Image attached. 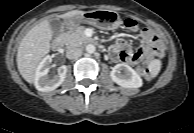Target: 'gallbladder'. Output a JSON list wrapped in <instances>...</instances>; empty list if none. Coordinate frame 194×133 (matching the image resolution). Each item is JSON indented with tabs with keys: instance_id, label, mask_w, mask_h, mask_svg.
Listing matches in <instances>:
<instances>
[{
	"instance_id": "bac80fb5",
	"label": "gallbladder",
	"mask_w": 194,
	"mask_h": 133,
	"mask_svg": "<svg viewBox=\"0 0 194 133\" xmlns=\"http://www.w3.org/2000/svg\"><path fill=\"white\" fill-rule=\"evenodd\" d=\"M50 26L55 36H59L62 33V24L58 19H50Z\"/></svg>"
}]
</instances>
